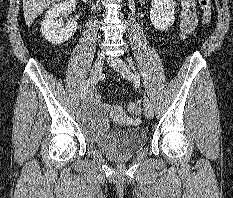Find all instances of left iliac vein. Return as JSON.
I'll return each mask as SVG.
<instances>
[{
    "label": "left iliac vein",
    "mask_w": 233,
    "mask_h": 198,
    "mask_svg": "<svg viewBox=\"0 0 233 198\" xmlns=\"http://www.w3.org/2000/svg\"><path fill=\"white\" fill-rule=\"evenodd\" d=\"M109 63L124 79L132 80L134 78L132 70L121 58L110 59ZM144 114L147 119H152L154 115L152 104L146 96L144 97Z\"/></svg>",
    "instance_id": "4c4485c4"
}]
</instances>
